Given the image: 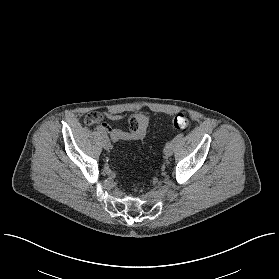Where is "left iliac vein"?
<instances>
[{
    "label": "left iliac vein",
    "instance_id": "4c4485c4",
    "mask_svg": "<svg viewBox=\"0 0 279 279\" xmlns=\"http://www.w3.org/2000/svg\"><path fill=\"white\" fill-rule=\"evenodd\" d=\"M174 153V143L173 142H169L166 147L164 148V155L166 157H170L172 156Z\"/></svg>",
    "mask_w": 279,
    "mask_h": 279
}]
</instances>
